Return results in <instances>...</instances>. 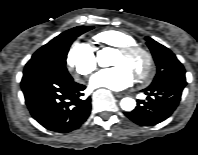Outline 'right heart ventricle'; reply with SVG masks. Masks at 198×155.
Listing matches in <instances>:
<instances>
[{
  "label": "right heart ventricle",
  "instance_id": "1",
  "mask_svg": "<svg viewBox=\"0 0 198 155\" xmlns=\"http://www.w3.org/2000/svg\"><path fill=\"white\" fill-rule=\"evenodd\" d=\"M94 38L104 45L116 48L135 44V40L131 35L117 29H107L100 31L94 36Z\"/></svg>",
  "mask_w": 198,
  "mask_h": 155
}]
</instances>
